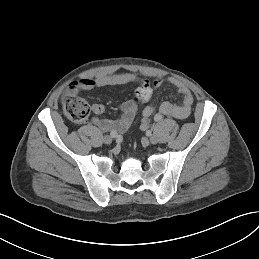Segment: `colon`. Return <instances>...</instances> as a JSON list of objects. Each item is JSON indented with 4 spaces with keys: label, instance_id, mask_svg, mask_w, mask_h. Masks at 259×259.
Segmentation results:
<instances>
[{
    "label": "colon",
    "instance_id": "colon-1",
    "mask_svg": "<svg viewBox=\"0 0 259 259\" xmlns=\"http://www.w3.org/2000/svg\"><path fill=\"white\" fill-rule=\"evenodd\" d=\"M73 83L72 85H76ZM153 92V85L149 81H144L135 91L134 102H144L150 99ZM64 113L73 122L85 121L90 113L89 105L75 94H68L64 98Z\"/></svg>",
    "mask_w": 259,
    "mask_h": 259
}]
</instances>
